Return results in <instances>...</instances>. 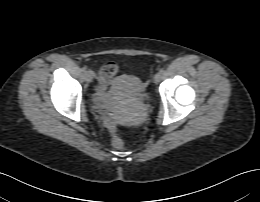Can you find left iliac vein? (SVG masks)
<instances>
[{
	"instance_id": "1",
	"label": "left iliac vein",
	"mask_w": 260,
	"mask_h": 202,
	"mask_svg": "<svg viewBox=\"0 0 260 202\" xmlns=\"http://www.w3.org/2000/svg\"><path fill=\"white\" fill-rule=\"evenodd\" d=\"M161 78L162 74L160 72L156 73L153 79L154 83L158 84L161 81Z\"/></svg>"
}]
</instances>
